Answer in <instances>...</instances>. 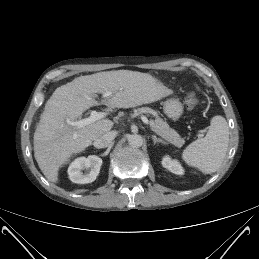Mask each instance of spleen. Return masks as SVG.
I'll return each mask as SVG.
<instances>
[{
    "label": "spleen",
    "mask_w": 259,
    "mask_h": 259,
    "mask_svg": "<svg viewBox=\"0 0 259 259\" xmlns=\"http://www.w3.org/2000/svg\"><path fill=\"white\" fill-rule=\"evenodd\" d=\"M229 128L224 117L216 115L211 119L208 132L189 144L182 153V159L191 167L205 174L216 172L221 166L228 149Z\"/></svg>",
    "instance_id": "spleen-1"
}]
</instances>
